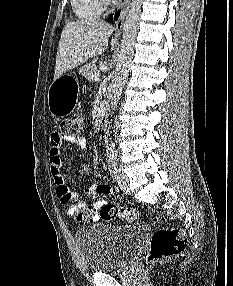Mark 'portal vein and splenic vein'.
<instances>
[{
    "instance_id": "obj_1",
    "label": "portal vein and splenic vein",
    "mask_w": 233,
    "mask_h": 286,
    "mask_svg": "<svg viewBox=\"0 0 233 286\" xmlns=\"http://www.w3.org/2000/svg\"><path fill=\"white\" fill-rule=\"evenodd\" d=\"M92 78H93L95 81H97V80L99 79V73L93 74V75H92Z\"/></svg>"
}]
</instances>
